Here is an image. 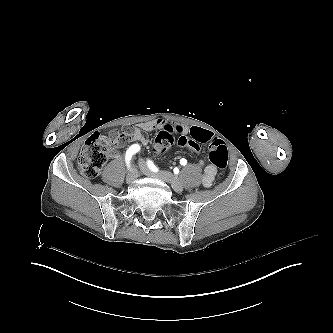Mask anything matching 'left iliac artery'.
Masks as SVG:
<instances>
[{"label":"left iliac artery","instance_id":"44dca946","mask_svg":"<svg viewBox=\"0 0 333 333\" xmlns=\"http://www.w3.org/2000/svg\"><path fill=\"white\" fill-rule=\"evenodd\" d=\"M180 164L181 165H186L187 164V160L186 159H181L180 160ZM148 166H149V168L151 169V170H153L154 172H156V171H158V169L156 168V166L153 164V162L152 161H148Z\"/></svg>","mask_w":333,"mask_h":333}]
</instances>
